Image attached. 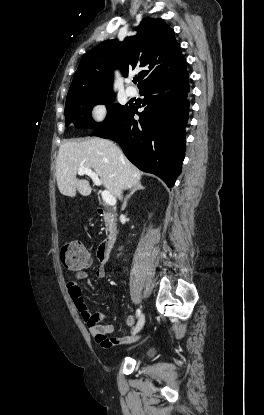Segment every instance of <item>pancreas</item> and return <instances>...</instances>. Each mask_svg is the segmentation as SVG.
<instances>
[{
    "label": "pancreas",
    "mask_w": 264,
    "mask_h": 415,
    "mask_svg": "<svg viewBox=\"0 0 264 415\" xmlns=\"http://www.w3.org/2000/svg\"><path fill=\"white\" fill-rule=\"evenodd\" d=\"M105 222H106L107 231L111 232L113 230V224L107 219H105Z\"/></svg>",
    "instance_id": "pancreas-1"
}]
</instances>
